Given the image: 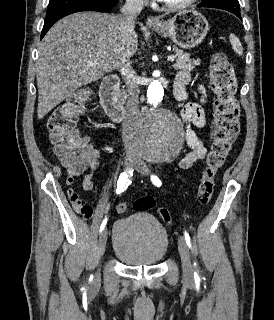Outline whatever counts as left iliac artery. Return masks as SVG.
Masks as SVG:
<instances>
[{
    "label": "left iliac artery",
    "instance_id": "44dca946",
    "mask_svg": "<svg viewBox=\"0 0 274 320\" xmlns=\"http://www.w3.org/2000/svg\"><path fill=\"white\" fill-rule=\"evenodd\" d=\"M151 181L155 186H157V187L161 186V181L157 176L152 175L151 176ZM184 237H185V240H186V243H187L188 247L191 248L190 236L186 231L184 232ZM194 277H195V279L199 278L197 272L194 273Z\"/></svg>",
    "mask_w": 274,
    "mask_h": 320
}]
</instances>
